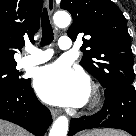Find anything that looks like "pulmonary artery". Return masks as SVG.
<instances>
[{
	"label": "pulmonary artery",
	"instance_id": "1",
	"mask_svg": "<svg viewBox=\"0 0 136 136\" xmlns=\"http://www.w3.org/2000/svg\"><path fill=\"white\" fill-rule=\"evenodd\" d=\"M59 47L63 50L71 48V40L69 37H61L59 39ZM28 55L23 57L20 61V66L29 67L37 64H41L49 60L53 54L51 50H41L35 47L27 48Z\"/></svg>",
	"mask_w": 136,
	"mask_h": 136
}]
</instances>
